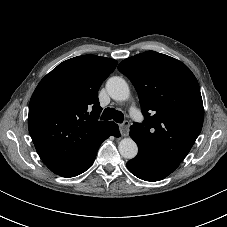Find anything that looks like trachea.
Segmentation results:
<instances>
[{
  "label": "trachea",
  "instance_id": "trachea-1",
  "mask_svg": "<svg viewBox=\"0 0 227 227\" xmlns=\"http://www.w3.org/2000/svg\"><path fill=\"white\" fill-rule=\"evenodd\" d=\"M101 119H113L117 123H122L124 115L121 111L113 108H106L101 115Z\"/></svg>",
  "mask_w": 227,
  "mask_h": 227
}]
</instances>
